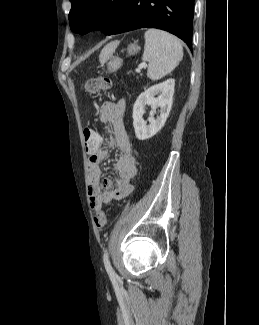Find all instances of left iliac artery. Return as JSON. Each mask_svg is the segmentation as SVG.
Segmentation results:
<instances>
[{"mask_svg": "<svg viewBox=\"0 0 259 325\" xmlns=\"http://www.w3.org/2000/svg\"><path fill=\"white\" fill-rule=\"evenodd\" d=\"M103 261H104L105 269H106L110 279L111 280H116L117 279V274L115 273L114 269L112 268V266L110 264L107 250L104 251Z\"/></svg>", "mask_w": 259, "mask_h": 325, "instance_id": "1", "label": "left iliac artery"}]
</instances>
